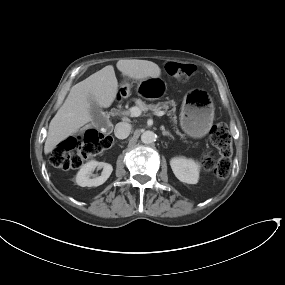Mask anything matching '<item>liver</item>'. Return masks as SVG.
<instances>
[{
	"label": "liver",
	"mask_w": 285,
	"mask_h": 285,
	"mask_svg": "<svg viewBox=\"0 0 285 285\" xmlns=\"http://www.w3.org/2000/svg\"><path fill=\"white\" fill-rule=\"evenodd\" d=\"M116 67L123 76L135 80L158 78L161 74L159 66L147 60L121 59ZM117 93L118 81L112 65L105 66L74 85L49 124L44 153L52 152L59 143L80 129L84 131L94 127L90 112L91 100L96 101L101 108H108Z\"/></svg>",
	"instance_id": "obj_1"
}]
</instances>
